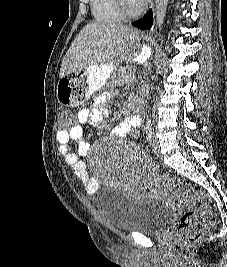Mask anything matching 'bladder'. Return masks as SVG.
<instances>
[{"label":"bladder","mask_w":227,"mask_h":267,"mask_svg":"<svg viewBox=\"0 0 227 267\" xmlns=\"http://www.w3.org/2000/svg\"><path fill=\"white\" fill-rule=\"evenodd\" d=\"M100 191L102 214L106 222L117 230L161 235L173 217L172 209L154 199L135 198L111 186H103Z\"/></svg>","instance_id":"31cf9c89"}]
</instances>
